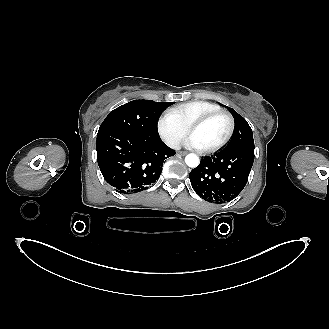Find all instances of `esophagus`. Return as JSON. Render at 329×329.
I'll use <instances>...</instances> for the list:
<instances>
[{
    "mask_svg": "<svg viewBox=\"0 0 329 329\" xmlns=\"http://www.w3.org/2000/svg\"><path fill=\"white\" fill-rule=\"evenodd\" d=\"M178 154L184 156V155H186L187 153H186L185 151H179Z\"/></svg>",
    "mask_w": 329,
    "mask_h": 329,
    "instance_id": "obj_1",
    "label": "esophagus"
}]
</instances>
